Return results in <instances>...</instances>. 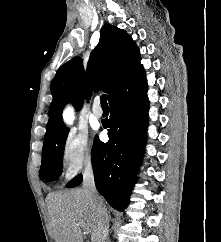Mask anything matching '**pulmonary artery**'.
Returning a JSON list of instances; mask_svg holds the SVG:
<instances>
[{"mask_svg":"<svg viewBox=\"0 0 221 242\" xmlns=\"http://www.w3.org/2000/svg\"><path fill=\"white\" fill-rule=\"evenodd\" d=\"M92 113L96 118H101L103 116V110L100 106L99 98H96L94 100V104H93V107H92Z\"/></svg>","mask_w":221,"mask_h":242,"instance_id":"pulmonary-artery-1","label":"pulmonary artery"}]
</instances>
